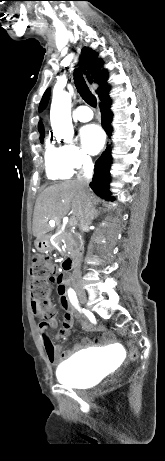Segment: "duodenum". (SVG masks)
<instances>
[{"label": "duodenum", "mask_w": 165, "mask_h": 461, "mask_svg": "<svg viewBox=\"0 0 165 461\" xmlns=\"http://www.w3.org/2000/svg\"><path fill=\"white\" fill-rule=\"evenodd\" d=\"M80 255H81V249H78L75 253H73L71 256L65 259L64 265L67 271L74 269L76 265V260Z\"/></svg>", "instance_id": "410a0bca"}]
</instances>
